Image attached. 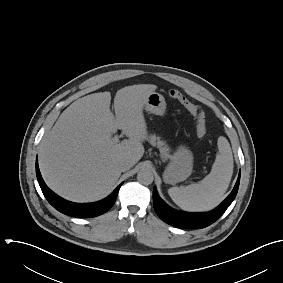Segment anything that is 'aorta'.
Here are the masks:
<instances>
[{
	"instance_id": "aorta-1",
	"label": "aorta",
	"mask_w": 283,
	"mask_h": 283,
	"mask_svg": "<svg viewBox=\"0 0 283 283\" xmlns=\"http://www.w3.org/2000/svg\"><path fill=\"white\" fill-rule=\"evenodd\" d=\"M137 179L140 183L149 185L153 182L154 175L150 169L142 168L137 174Z\"/></svg>"
}]
</instances>
